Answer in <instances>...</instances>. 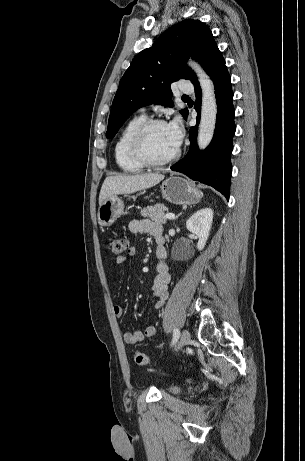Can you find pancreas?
<instances>
[{
  "mask_svg": "<svg viewBox=\"0 0 305 461\" xmlns=\"http://www.w3.org/2000/svg\"><path fill=\"white\" fill-rule=\"evenodd\" d=\"M168 209L164 204H155L153 206H148L147 208H143L141 210V215L143 217L149 218L155 223L158 224H165L167 218L164 215V212Z\"/></svg>",
  "mask_w": 305,
  "mask_h": 461,
  "instance_id": "cf45deb5",
  "label": "pancreas"
}]
</instances>
